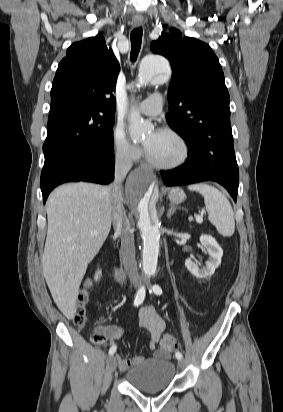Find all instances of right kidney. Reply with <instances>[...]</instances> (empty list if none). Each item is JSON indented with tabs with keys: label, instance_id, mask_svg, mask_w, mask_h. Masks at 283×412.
Segmentation results:
<instances>
[{
	"label": "right kidney",
	"instance_id": "ca27d5eb",
	"mask_svg": "<svg viewBox=\"0 0 283 412\" xmlns=\"http://www.w3.org/2000/svg\"><path fill=\"white\" fill-rule=\"evenodd\" d=\"M100 276H101V271L98 270L95 274V280L97 281L100 278Z\"/></svg>",
	"mask_w": 283,
	"mask_h": 412
}]
</instances>
